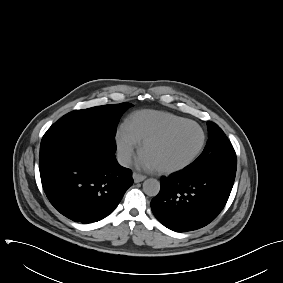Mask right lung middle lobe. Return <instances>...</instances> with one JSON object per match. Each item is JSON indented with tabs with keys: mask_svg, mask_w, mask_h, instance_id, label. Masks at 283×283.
<instances>
[{
	"mask_svg": "<svg viewBox=\"0 0 283 283\" xmlns=\"http://www.w3.org/2000/svg\"><path fill=\"white\" fill-rule=\"evenodd\" d=\"M130 106L132 104L125 102L74 110L64 115L47 130L42 138L40 151L75 137L98 135L115 138L118 120Z\"/></svg>",
	"mask_w": 283,
	"mask_h": 283,
	"instance_id": "right-lung-middle-lobe-1",
	"label": "right lung middle lobe"
}]
</instances>
